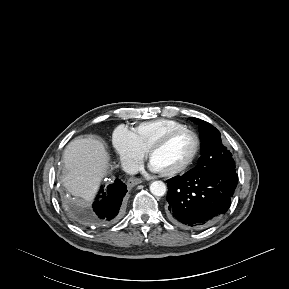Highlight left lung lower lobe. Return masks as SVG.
Here are the masks:
<instances>
[{
    "mask_svg": "<svg viewBox=\"0 0 289 289\" xmlns=\"http://www.w3.org/2000/svg\"><path fill=\"white\" fill-rule=\"evenodd\" d=\"M238 183L227 164L190 170L167 180V217L175 225L201 229L224 214Z\"/></svg>",
    "mask_w": 289,
    "mask_h": 289,
    "instance_id": "1",
    "label": "left lung lower lobe"
}]
</instances>
